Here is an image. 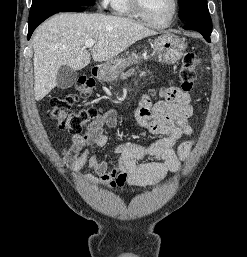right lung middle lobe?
<instances>
[{
	"label": "right lung middle lobe",
	"instance_id": "obj_1",
	"mask_svg": "<svg viewBox=\"0 0 247 257\" xmlns=\"http://www.w3.org/2000/svg\"><path fill=\"white\" fill-rule=\"evenodd\" d=\"M94 4L95 0H33L29 16L52 7L90 6Z\"/></svg>",
	"mask_w": 247,
	"mask_h": 257
}]
</instances>
